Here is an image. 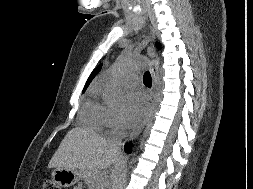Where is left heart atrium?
<instances>
[{
	"label": "left heart atrium",
	"instance_id": "obj_1",
	"mask_svg": "<svg viewBox=\"0 0 253 189\" xmlns=\"http://www.w3.org/2000/svg\"><path fill=\"white\" fill-rule=\"evenodd\" d=\"M146 108V100L142 95L137 93L129 95L121 118L122 124L125 127L135 125L144 115Z\"/></svg>",
	"mask_w": 253,
	"mask_h": 189
}]
</instances>
